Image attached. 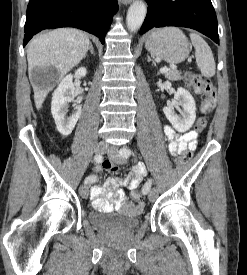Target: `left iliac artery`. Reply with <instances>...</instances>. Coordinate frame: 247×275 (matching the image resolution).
Here are the masks:
<instances>
[{"label":"left iliac artery","mask_w":247,"mask_h":275,"mask_svg":"<svg viewBox=\"0 0 247 275\" xmlns=\"http://www.w3.org/2000/svg\"><path fill=\"white\" fill-rule=\"evenodd\" d=\"M120 155L124 158H127L131 155V150L130 149H121L120 150ZM152 185V179H148L147 182L145 183L143 190L147 193L150 191Z\"/></svg>","instance_id":"obj_1"}]
</instances>
